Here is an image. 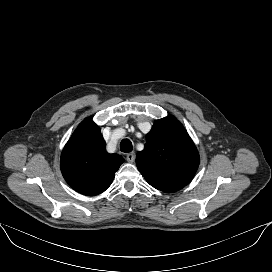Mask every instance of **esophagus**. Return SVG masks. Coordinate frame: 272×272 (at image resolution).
I'll return each mask as SVG.
<instances>
[{"label":"esophagus","mask_w":272,"mask_h":272,"mask_svg":"<svg viewBox=\"0 0 272 272\" xmlns=\"http://www.w3.org/2000/svg\"><path fill=\"white\" fill-rule=\"evenodd\" d=\"M126 160L130 163H133L135 160V153H133V152L128 153L126 156Z\"/></svg>","instance_id":"1"}]
</instances>
